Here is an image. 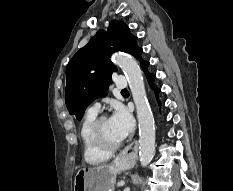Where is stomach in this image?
I'll use <instances>...</instances> for the list:
<instances>
[{
	"mask_svg": "<svg viewBox=\"0 0 233 191\" xmlns=\"http://www.w3.org/2000/svg\"><path fill=\"white\" fill-rule=\"evenodd\" d=\"M127 168L122 162H116L111 166H97L81 168L74 179V191H113L116 176Z\"/></svg>",
	"mask_w": 233,
	"mask_h": 191,
	"instance_id": "obj_1",
	"label": "stomach"
}]
</instances>
